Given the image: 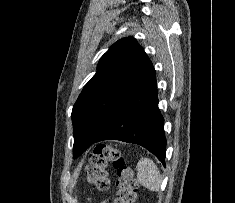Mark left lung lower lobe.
<instances>
[{"label": "left lung lower lobe", "instance_id": "obj_1", "mask_svg": "<svg viewBox=\"0 0 235 203\" xmlns=\"http://www.w3.org/2000/svg\"><path fill=\"white\" fill-rule=\"evenodd\" d=\"M163 126L164 119L158 108L156 73L152 66L100 135L85 129L79 133L83 145L81 151L93 143L115 139L146 148L165 166Z\"/></svg>", "mask_w": 235, "mask_h": 203}]
</instances>
